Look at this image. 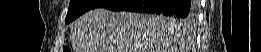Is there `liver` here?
Returning <instances> with one entry per match:
<instances>
[{
  "label": "liver",
  "mask_w": 261,
  "mask_h": 52,
  "mask_svg": "<svg viewBox=\"0 0 261 52\" xmlns=\"http://www.w3.org/2000/svg\"><path fill=\"white\" fill-rule=\"evenodd\" d=\"M161 17L97 8L73 23L71 36L77 52H179L183 25Z\"/></svg>",
  "instance_id": "6515ba94"
}]
</instances>
